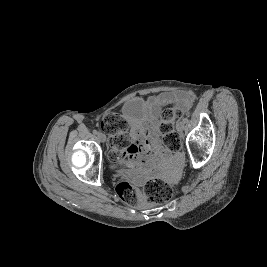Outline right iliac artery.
Segmentation results:
<instances>
[{"mask_svg": "<svg viewBox=\"0 0 267 267\" xmlns=\"http://www.w3.org/2000/svg\"><path fill=\"white\" fill-rule=\"evenodd\" d=\"M93 134L97 135L98 131L96 129L93 130Z\"/></svg>", "mask_w": 267, "mask_h": 267, "instance_id": "right-iliac-artery-1", "label": "right iliac artery"}]
</instances>
